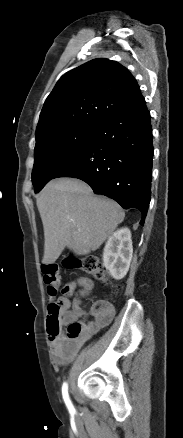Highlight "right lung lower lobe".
<instances>
[{
	"label": "right lung lower lobe",
	"mask_w": 183,
	"mask_h": 438,
	"mask_svg": "<svg viewBox=\"0 0 183 438\" xmlns=\"http://www.w3.org/2000/svg\"><path fill=\"white\" fill-rule=\"evenodd\" d=\"M152 129L145 100L100 122L90 142L54 178L85 181L96 194L137 208L144 224L151 198Z\"/></svg>",
	"instance_id": "98d812e1"
}]
</instances>
